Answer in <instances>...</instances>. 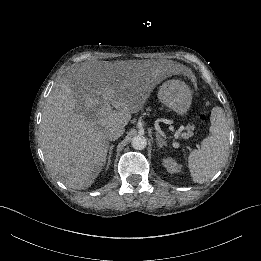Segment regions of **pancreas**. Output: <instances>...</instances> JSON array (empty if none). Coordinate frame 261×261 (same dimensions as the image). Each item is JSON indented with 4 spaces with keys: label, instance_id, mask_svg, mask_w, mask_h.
I'll use <instances>...</instances> for the list:
<instances>
[{
    "label": "pancreas",
    "instance_id": "obj_1",
    "mask_svg": "<svg viewBox=\"0 0 261 261\" xmlns=\"http://www.w3.org/2000/svg\"><path fill=\"white\" fill-rule=\"evenodd\" d=\"M189 129H192V126H188ZM185 136L190 137L193 135V131H191L190 133H183Z\"/></svg>",
    "mask_w": 261,
    "mask_h": 261
}]
</instances>
